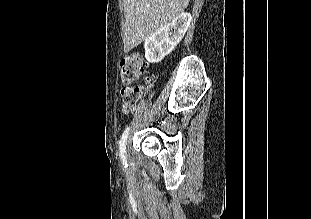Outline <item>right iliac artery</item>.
Here are the masks:
<instances>
[{
    "label": "right iliac artery",
    "mask_w": 311,
    "mask_h": 219,
    "mask_svg": "<svg viewBox=\"0 0 311 219\" xmlns=\"http://www.w3.org/2000/svg\"><path fill=\"white\" fill-rule=\"evenodd\" d=\"M129 130L130 128H127L121 137L120 143H119V151H120V156L123 162V165H125V167H127V160H126V156H125V149H126V141H127V137L129 134Z\"/></svg>",
    "instance_id": "82829eb1"
}]
</instances>
